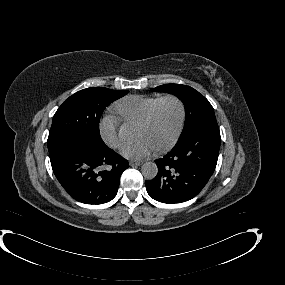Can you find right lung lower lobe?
<instances>
[{
	"label": "right lung lower lobe",
	"mask_w": 285,
	"mask_h": 285,
	"mask_svg": "<svg viewBox=\"0 0 285 285\" xmlns=\"http://www.w3.org/2000/svg\"><path fill=\"white\" fill-rule=\"evenodd\" d=\"M50 155L53 172L75 200L103 204L118 191L120 176L128 161L106 147L95 150L78 142L66 143ZM109 165L107 170L100 171Z\"/></svg>",
	"instance_id": "right-lung-lower-lobe-1"
}]
</instances>
